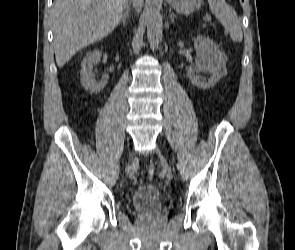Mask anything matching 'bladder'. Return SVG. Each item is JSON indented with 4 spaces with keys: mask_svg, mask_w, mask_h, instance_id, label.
<instances>
[{
    "mask_svg": "<svg viewBox=\"0 0 295 250\" xmlns=\"http://www.w3.org/2000/svg\"><path fill=\"white\" fill-rule=\"evenodd\" d=\"M132 203L136 212L151 214L161 208L162 194L155 185L144 184L134 192Z\"/></svg>",
    "mask_w": 295,
    "mask_h": 250,
    "instance_id": "31cf9c89",
    "label": "bladder"
}]
</instances>
